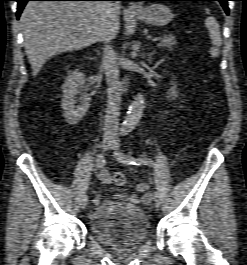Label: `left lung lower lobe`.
Returning <instances> with one entry per match:
<instances>
[{
    "label": "left lung lower lobe",
    "mask_w": 247,
    "mask_h": 265,
    "mask_svg": "<svg viewBox=\"0 0 247 265\" xmlns=\"http://www.w3.org/2000/svg\"><path fill=\"white\" fill-rule=\"evenodd\" d=\"M132 1H178V0H132ZM193 1H219L223 6L226 14H229V8L227 2L230 0H193Z\"/></svg>",
    "instance_id": "obj_1"
}]
</instances>
